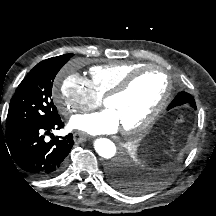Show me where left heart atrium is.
I'll list each match as a JSON object with an SVG mask.
<instances>
[{
	"instance_id": "39dd6f15",
	"label": "left heart atrium",
	"mask_w": 216,
	"mask_h": 216,
	"mask_svg": "<svg viewBox=\"0 0 216 216\" xmlns=\"http://www.w3.org/2000/svg\"><path fill=\"white\" fill-rule=\"evenodd\" d=\"M69 126L91 135L114 133L119 128V119L114 111L106 109L84 115H75L70 119Z\"/></svg>"
}]
</instances>
